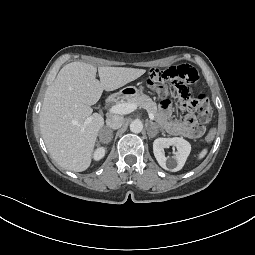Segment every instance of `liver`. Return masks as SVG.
Masks as SVG:
<instances>
[{
  "instance_id": "6515ba94",
  "label": "liver",
  "mask_w": 255,
  "mask_h": 255,
  "mask_svg": "<svg viewBox=\"0 0 255 255\" xmlns=\"http://www.w3.org/2000/svg\"><path fill=\"white\" fill-rule=\"evenodd\" d=\"M97 68L84 62L66 64L48 87L40 111V129L51 157L63 168L82 172L90 164L104 118L92 113L91 105L102 92L114 91L142 76L146 70ZM91 117L89 123L86 119Z\"/></svg>"
}]
</instances>
